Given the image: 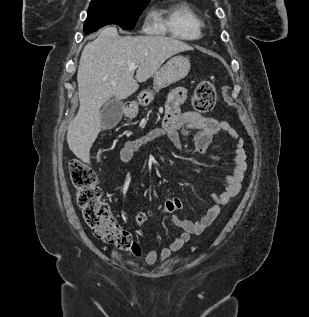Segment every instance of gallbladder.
Instances as JSON below:
<instances>
[{"label": "gallbladder", "mask_w": 309, "mask_h": 317, "mask_svg": "<svg viewBox=\"0 0 309 317\" xmlns=\"http://www.w3.org/2000/svg\"><path fill=\"white\" fill-rule=\"evenodd\" d=\"M123 103L117 98H110L102 107L101 124L104 130L114 128L123 115Z\"/></svg>", "instance_id": "bac80fb5"}]
</instances>
